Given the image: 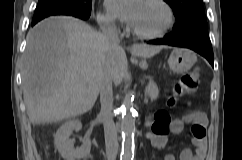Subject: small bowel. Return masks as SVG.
I'll return each instance as SVG.
<instances>
[{
	"mask_svg": "<svg viewBox=\"0 0 242 160\" xmlns=\"http://www.w3.org/2000/svg\"><path fill=\"white\" fill-rule=\"evenodd\" d=\"M185 123H191L192 128V142L194 150L185 148L180 154V160H204L206 155V119L203 114L198 112H191L187 114L183 119H173L165 133H157L152 130L149 134L151 144L158 150L164 151L167 145V134H180L184 130ZM199 129L200 132H196L195 129ZM164 160H175L172 154L164 153Z\"/></svg>",
	"mask_w": 242,
	"mask_h": 160,
	"instance_id": "obj_1",
	"label": "small bowel"
}]
</instances>
